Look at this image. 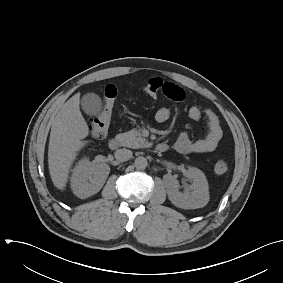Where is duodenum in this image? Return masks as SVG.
<instances>
[{
  "label": "duodenum",
  "mask_w": 283,
  "mask_h": 283,
  "mask_svg": "<svg viewBox=\"0 0 283 283\" xmlns=\"http://www.w3.org/2000/svg\"><path fill=\"white\" fill-rule=\"evenodd\" d=\"M120 146H121V141L118 138H113L109 141V148L111 150H117L120 148ZM167 149H168V146L165 143H159L156 146L157 152H165Z\"/></svg>",
  "instance_id": "duodenum-1"
}]
</instances>
